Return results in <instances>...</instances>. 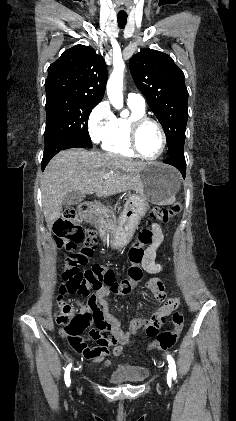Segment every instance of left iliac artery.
Listing matches in <instances>:
<instances>
[{
	"label": "left iliac artery",
	"mask_w": 236,
	"mask_h": 421,
	"mask_svg": "<svg viewBox=\"0 0 236 421\" xmlns=\"http://www.w3.org/2000/svg\"><path fill=\"white\" fill-rule=\"evenodd\" d=\"M167 360H168V363H169L168 374H172L173 378L175 379L176 376H177L175 361H174V359L172 358L171 355H167Z\"/></svg>",
	"instance_id": "left-iliac-artery-1"
}]
</instances>
